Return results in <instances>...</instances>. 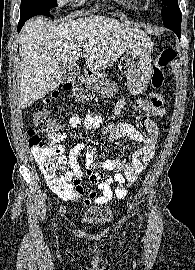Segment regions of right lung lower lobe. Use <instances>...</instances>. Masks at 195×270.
I'll list each match as a JSON object with an SVG mask.
<instances>
[{"instance_id":"98d812e1","label":"right lung lower lobe","mask_w":195,"mask_h":270,"mask_svg":"<svg viewBox=\"0 0 195 270\" xmlns=\"http://www.w3.org/2000/svg\"><path fill=\"white\" fill-rule=\"evenodd\" d=\"M37 14L34 13V12H24V11H21V14H20V21L18 23V32L21 30L22 26L25 24V22L33 17V16H36Z\"/></svg>"}]
</instances>
